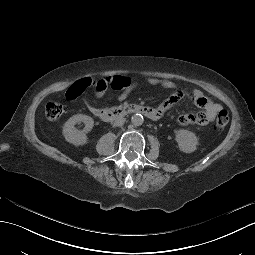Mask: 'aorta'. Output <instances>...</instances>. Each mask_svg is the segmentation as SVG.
I'll return each instance as SVG.
<instances>
[{"instance_id": "obj_1", "label": "aorta", "mask_w": 255, "mask_h": 255, "mask_svg": "<svg viewBox=\"0 0 255 255\" xmlns=\"http://www.w3.org/2000/svg\"><path fill=\"white\" fill-rule=\"evenodd\" d=\"M131 122L134 126H140L143 124L144 118L141 114L137 113V114L132 115Z\"/></svg>"}]
</instances>
